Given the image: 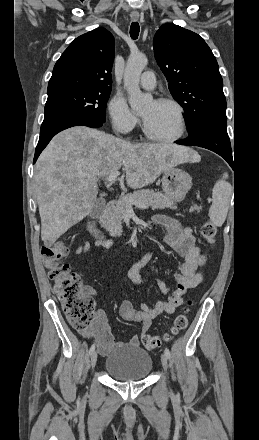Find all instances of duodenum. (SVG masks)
I'll return each instance as SVG.
<instances>
[{"mask_svg": "<svg viewBox=\"0 0 259 440\" xmlns=\"http://www.w3.org/2000/svg\"><path fill=\"white\" fill-rule=\"evenodd\" d=\"M114 201H109L105 208L103 209V211L101 212V215L99 216V218L97 219H89L88 223H87V228L88 231L90 232V234L95 238V239H105V235L101 230L100 227V220L108 213V211L111 209V207L113 206Z\"/></svg>", "mask_w": 259, "mask_h": 440, "instance_id": "duodenum-1", "label": "duodenum"}]
</instances>
